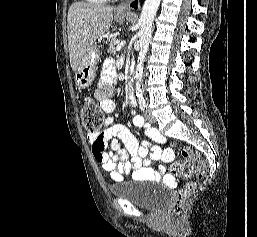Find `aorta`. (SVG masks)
<instances>
[{
	"mask_svg": "<svg viewBox=\"0 0 257 237\" xmlns=\"http://www.w3.org/2000/svg\"><path fill=\"white\" fill-rule=\"evenodd\" d=\"M161 0H145L141 15L139 18L140 30H139V45L140 51L137 60V66L135 69L134 78L135 92L138 99L143 98L142 78H143V65L145 57L151 41L152 26L159 8Z\"/></svg>",
	"mask_w": 257,
	"mask_h": 237,
	"instance_id": "obj_1",
	"label": "aorta"
}]
</instances>
